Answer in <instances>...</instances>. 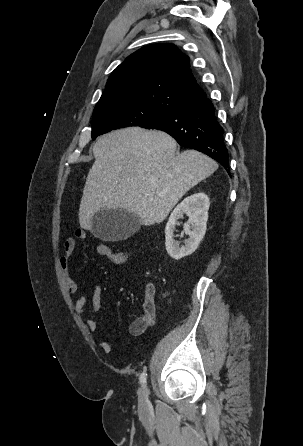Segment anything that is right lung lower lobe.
<instances>
[{"instance_id": "obj_1", "label": "right lung lower lobe", "mask_w": 303, "mask_h": 446, "mask_svg": "<svg viewBox=\"0 0 303 446\" xmlns=\"http://www.w3.org/2000/svg\"><path fill=\"white\" fill-rule=\"evenodd\" d=\"M140 127L168 133L180 145L210 156L229 172L223 129L216 120L214 107L207 96L167 111Z\"/></svg>"}]
</instances>
